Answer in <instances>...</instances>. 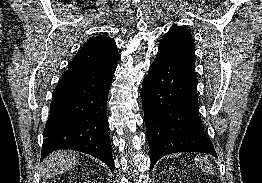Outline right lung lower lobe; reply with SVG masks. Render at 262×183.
<instances>
[{"label":"right lung lower lobe","mask_w":262,"mask_h":183,"mask_svg":"<svg viewBox=\"0 0 262 183\" xmlns=\"http://www.w3.org/2000/svg\"><path fill=\"white\" fill-rule=\"evenodd\" d=\"M115 70L116 65L65 71L52 94L41 161L52 151L72 149L90 154L114 170L107 98Z\"/></svg>","instance_id":"obj_1"}]
</instances>
